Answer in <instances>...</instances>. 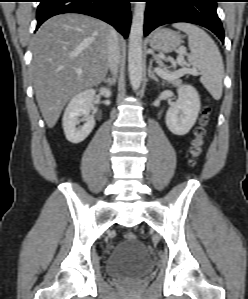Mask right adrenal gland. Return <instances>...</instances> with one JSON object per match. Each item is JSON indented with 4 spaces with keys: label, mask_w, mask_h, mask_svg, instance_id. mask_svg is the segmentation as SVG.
Instances as JSON below:
<instances>
[{
    "label": "right adrenal gland",
    "mask_w": 248,
    "mask_h": 299,
    "mask_svg": "<svg viewBox=\"0 0 248 299\" xmlns=\"http://www.w3.org/2000/svg\"><path fill=\"white\" fill-rule=\"evenodd\" d=\"M104 82L109 86L114 85L116 83V74H114L113 77L104 78Z\"/></svg>",
    "instance_id": "obj_1"
}]
</instances>
